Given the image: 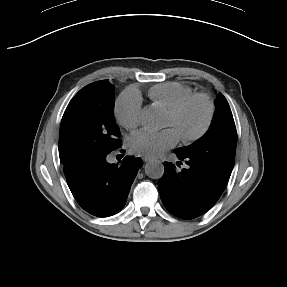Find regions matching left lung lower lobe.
I'll return each instance as SVG.
<instances>
[{
    "label": "left lung lower lobe",
    "mask_w": 287,
    "mask_h": 287,
    "mask_svg": "<svg viewBox=\"0 0 287 287\" xmlns=\"http://www.w3.org/2000/svg\"><path fill=\"white\" fill-rule=\"evenodd\" d=\"M174 152L188 167L178 172L172 163L164 162L165 172L158 183L160 196L170 213L182 219H193L217 202L227 182L194 156Z\"/></svg>",
    "instance_id": "1"
}]
</instances>
